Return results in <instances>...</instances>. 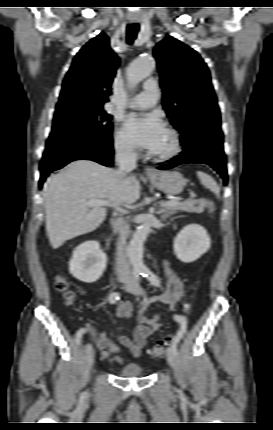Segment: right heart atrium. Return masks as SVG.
Instances as JSON below:
<instances>
[{
	"instance_id": "d8ad5b80",
	"label": "right heart atrium",
	"mask_w": 273,
	"mask_h": 430,
	"mask_svg": "<svg viewBox=\"0 0 273 430\" xmlns=\"http://www.w3.org/2000/svg\"><path fill=\"white\" fill-rule=\"evenodd\" d=\"M114 147L116 152L123 157H134L138 151L137 146L122 129H117L115 132Z\"/></svg>"
}]
</instances>
